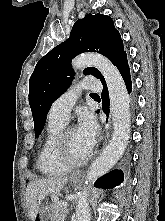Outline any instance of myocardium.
Returning a JSON list of instances; mask_svg holds the SVG:
<instances>
[{"instance_id": "1", "label": "myocardium", "mask_w": 165, "mask_h": 221, "mask_svg": "<svg viewBox=\"0 0 165 221\" xmlns=\"http://www.w3.org/2000/svg\"><path fill=\"white\" fill-rule=\"evenodd\" d=\"M76 129L74 126L64 127L57 136L55 142V155L60 164L68 168H77L87 163L93 156V148L81 159H74L69 154L67 148V137L71 130Z\"/></svg>"}]
</instances>
